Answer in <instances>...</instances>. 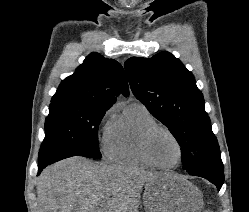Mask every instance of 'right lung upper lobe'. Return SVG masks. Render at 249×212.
<instances>
[{
	"mask_svg": "<svg viewBox=\"0 0 249 212\" xmlns=\"http://www.w3.org/2000/svg\"><path fill=\"white\" fill-rule=\"evenodd\" d=\"M120 93L129 95L122 66L94 52L61 82L52 100H74L110 108Z\"/></svg>",
	"mask_w": 249,
	"mask_h": 212,
	"instance_id": "right-lung-upper-lobe-1",
	"label": "right lung upper lobe"
}]
</instances>
